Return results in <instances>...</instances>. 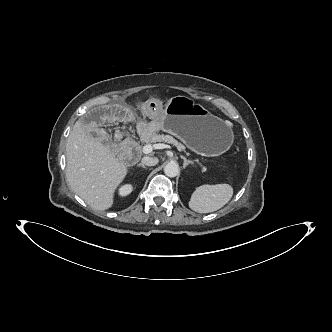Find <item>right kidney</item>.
I'll use <instances>...</instances> for the list:
<instances>
[{"instance_id": "obj_1", "label": "right kidney", "mask_w": 332, "mask_h": 332, "mask_svg": "<svg viewBox=\"0 0 332 332\" xmlns=\"http://www.w3.org/2000/svg\"><path fill=\"white\" fill-rule=\"evenodd\" d=\"M132 192V186L130 184H126L120 188V195L121 196H127Z\"/></svg>"}]
</instances>
